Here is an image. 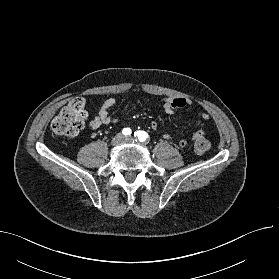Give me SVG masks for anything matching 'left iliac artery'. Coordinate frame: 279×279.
Listing matches in <instances>:
<instances>
[{"label":"left iliac artery","instance_id":"obj_1","mask_svg":"<svg viewBox=\"0 0 279 279\" xmlns=\"http://www.w3.org/2000/svg\"><path fill=\"white\" fill-rule=\"evenodd\" d=\"M134 136L137 137L140 142H145L149 137L145 131H136Z\"/></svg>","mask_w":279,"mask_h":279}]
</instances>
